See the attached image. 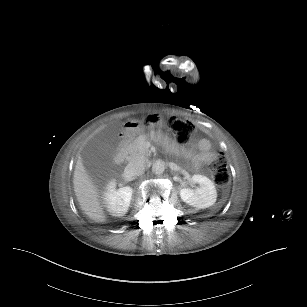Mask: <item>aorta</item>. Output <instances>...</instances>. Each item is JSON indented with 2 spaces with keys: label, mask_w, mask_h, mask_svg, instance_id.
I'll return each mask as SVG.
<instances>
[{
  "label": "aorta",
  "mask_w": 307,
  "mask_h": 307,
  "mask_svg": "<svg viewBox=\"0 0 307 307\" xmlns=\"http://www.w3.org/2000/svg\"><path fill=\"white\" fill-rule=\"evenodd\" d=\"M152 171L155 174H162L165 171V162L163 161H156L153 165H152Z\"/></svg>",
  "instance_id": "aorta-1"
}]
</instances>
